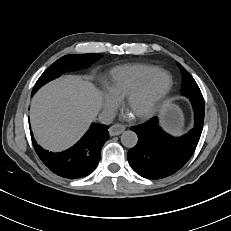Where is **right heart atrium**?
<instances>
[{"label":"right heart atrium","instance_id":"obj_1","mask_svg":"<svg viewBox=\"0 0 231 231\" xmlns=\"http://www.w3.org/2000/svg\"><path fill=\"white\" fill-rule=\"evenodd\" d=\"M120 103V99L111 95L110 93L104 96V109L105 113L109 116L114 113Z\"/></svg>","mask_w":231,"mask_h":231}]
</instances>
